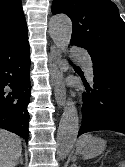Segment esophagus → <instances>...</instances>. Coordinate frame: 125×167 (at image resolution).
Masks as SVG:
<instances>
[{"instance_id": "1", "label": "esophagus", "mask_w": 125, "mask_h": 167, "mask_svg": "<svg viewBox=\"0 0 125 167\" xmlns=\"http://www.w3.org/2000/svg\"><path fill=\"white\" fill-rule=\"evenodd\" d=\"M50 58L55 99L58 106L61 108L66 101V89L63 81L64 75L61 54L54 45L50 48Z\"/></svg>"}]
</instances>
